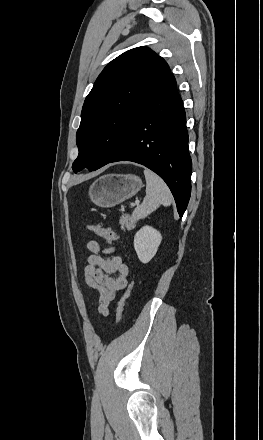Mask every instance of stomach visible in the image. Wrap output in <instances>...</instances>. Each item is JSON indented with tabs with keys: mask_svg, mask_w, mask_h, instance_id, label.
Listing matches in <instances>:
<instances>
[{
	"mask_svg": "<svg viewBox=\"0 0 263 440\" xmlns=\"http://www.w3.org/2000/svg\"><path fill=\"white\" fill-rule=\"evenodd\" d=\"M142 188L140 177L132 174H108L89 188L91 201L100 207H113L134 196Z\"/></svg>",
	"mask_w": 263,
	"mask_h": 440,
	"instance_id": "obj_1",
	"label": "stomach"
}]
</instances>
